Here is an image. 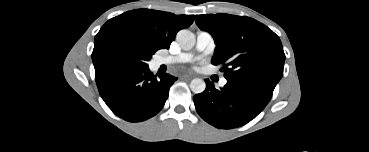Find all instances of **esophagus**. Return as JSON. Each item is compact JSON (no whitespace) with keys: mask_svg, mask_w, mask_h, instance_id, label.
Instances as JSON below:
<instances>
[{"mask_svg":"<svg viewBox=\"0 0 369 152\" xmlns=\"http://www.w3.org/2000/svg\"><path fill=\"white\" fill-rule=\"evenodd\" d=\"M182 80H191L192 78H193V76L192 75H182L181 77H180Z\"/></svg>","mask_w":369,"mask_h":152,"instance_id":"1","label":"esophagus"}]
</instances>
